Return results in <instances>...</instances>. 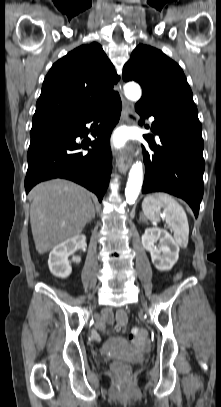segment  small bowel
I'll list each match as a JSON object with an SVG mask.
<instances>
[{
  "mask_svg": "<svg viewBox=\"0 0 221 407\" xmlns=\"http://www.w3.org/2000/svg\"><path fill=\"white\" fill-rule=\"evenodd\" d=\"M116 313H118V311ZM101 323H107V324H110V325L114 323V314H113L112 310L106 309V310H104L102 312ZM94 337L96 339H98L97 334H94Z\"/></svg>",
  "mask_w": 221,
  "mask_h": 407,
  "instance_id": "obj_1",
  "label": "small bowel"
}]
</instances>
